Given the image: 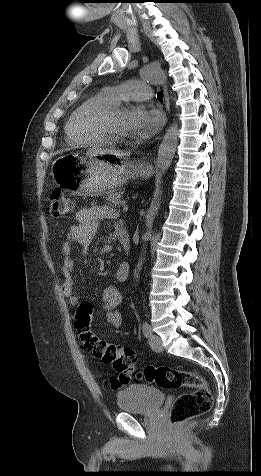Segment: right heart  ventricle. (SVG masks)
Here are the masks:
<instances>
[{"mask_svg": "<svg viewBox=\"0 0 261 476\" xmlns=\"http://www.w3.org/2000/svg\"><path fill=\"white\" fill-rule=\"evenodd\" d=\"M117 102L106 91L99 92L85 99L69 115L65 134L70 145L75 147L91 146L106 143V139L93 132L87 117L95 109Z\"/></svg>", "mask_w": 261, "mask_h": 476, "instance_id": "obj_1", "label": "right heart ventricle"}]
</instances>
